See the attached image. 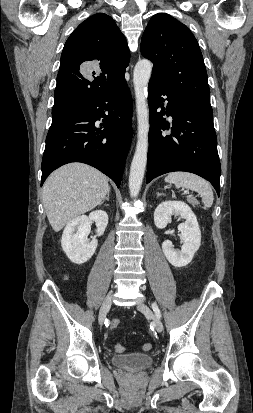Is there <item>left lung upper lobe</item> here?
Listing matches in <instances>:
<instances>
[{"label":"left lung upper lobe","instance_id":"left-lung-upper-lobe-1","mask_svg":"<svg viewBox=\"0 0 253 413\" xmlns=\"http://www.w3.org/2000/svg\"><path fill=\"white\" fill-rule=\"evenodd\" d=\"M141 53L154 64L152 79L174 96L212 112L203 56L187 26L168 14L154 15L142 36Z\"/></svg>","mask_w":253,"mask_h":413}]
</instances>
